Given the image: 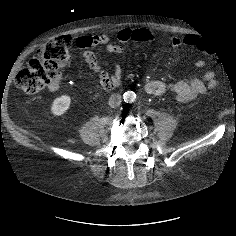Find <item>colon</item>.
Returning a JSON list of instances; mask_svg holds the SVG:
<instances>
[{"instance_id": "colon-1", "label": "colon", "mask_w": 236, "mask_h": 236, "mask_svg": "<svg viewBox=\"0 0 236 236\" xmlns=\"http://www.w3.org/2000/svg\"><path fill=\"white\" fill-rule=\"evenodd\" d=\"M204 49L203 44L198 46ZM224 60L222 55L217 57ZM70 63L69 40L52 39L37 50V57L30 60L27 67L21 69L15 78L16 86L26 94H36L46 86L57 83L62 70Z\"/></svg>"}]
</instances>
